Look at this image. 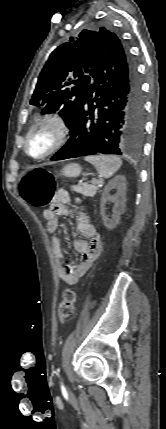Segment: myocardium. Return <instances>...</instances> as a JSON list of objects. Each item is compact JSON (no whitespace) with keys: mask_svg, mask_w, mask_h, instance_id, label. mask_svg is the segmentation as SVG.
I'll return each instance as SVG.
<instances>
[{"mask_svg":"<svg viewBox=\"0 0 166 429\" xmlns=\"http://www.w3.org/2000/svg\"><path fill=\"white\" fill-rule=\"evenodd\" d=\"M42 127H48L51 128L54 132V142L52 146L42 155L40 156H33L30 154L28 150V142L31 137V135L37 131L39 128ZM68 135V126L63 118L58 113H48L43 115L42 117L38 118L32 126L28 129V131L25 134L24 143H23V149L27 156L34 160H43L54 153H56L62 146L65 144L66 139Z\"/></svg>","mask_w":166,"mask_h":429,"instance_id":"myocardium-1","label":"myocardium"}]
</instances>
